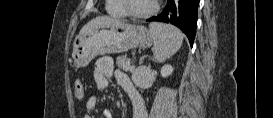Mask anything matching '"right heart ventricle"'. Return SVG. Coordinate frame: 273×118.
Masks as SVG:
<instances>
[{"label":"right heart ventricle","mask_w":273,"mask_h":118,"mask_svg":"<svg viewBox=\"0 0 273 118\" xmlns=\"http://www.w3.org/2000/svg\"><path fill=\"white\" fill-rule=\"evenodd\" d=\"M106 11L114 16L126 15V11L122 0H107Z\"/></svg>","instance_id":"e07e8e85"}]
</instances>
